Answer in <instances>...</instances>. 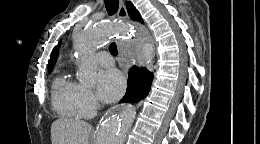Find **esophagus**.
I'll return each instance as SVG.
<instances>
[{
  "label": "esophagus",
  "instance_id": "esophagus-1",
  "mask_svg": "<svg viewBox=\"0 0 260 144\" xmlns=\"http://www.w3.org/2000/svg\"><path fill=\"white\" fill-rule=\"evenodd\" d=\"M118 18L123 21L128 19V13L123 0H119Z\"/></svg>",
  "mask_w": 260,
  "mask_h": 144
}]
</instances>
